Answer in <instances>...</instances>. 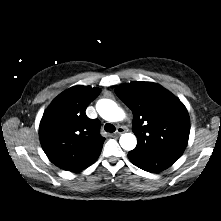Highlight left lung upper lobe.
<instances>
[{"mask_svg":"<svg viewBox=\"0 0 221 221\" xmlns=\"http://www.w3.org/2000/svg\"><path fill=\"white\" fill-rule=\"evenodd\" d=\"M133 113L135 150L181 156L190 133L186 107L171 92L153 82H132L115 90Z\"/></svg>","mask_w":221,"mask_h":221,"instance_id":"5c2ea615","label":"left lung upper lobe"}]
</instances>
